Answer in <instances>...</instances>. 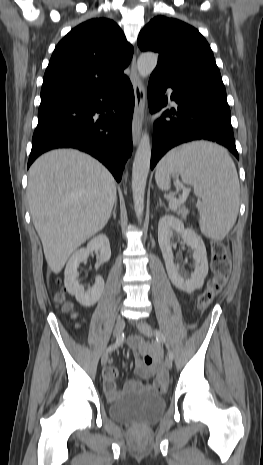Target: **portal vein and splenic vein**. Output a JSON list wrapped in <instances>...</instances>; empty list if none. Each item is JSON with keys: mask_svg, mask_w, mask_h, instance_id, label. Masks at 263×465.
<instances>
[{"mask_svg": "<svg viewBox=\"0 0 263 465\" xmlns=\"http://www.w3.org/2000/svg\"><path fill=\"white\" fill-rule=\"evenodd\" d=\"M189 192H190V189H183L182 196L179 199L172 200L169 203V208L171 210H174L175 208H177L178 205L183 204L186 201L189 195ZM196 206H201V203H197Z\"/></svg>", "mask_w": 263, "mask_h": 465, "instance_id": "obj_1", "label": "portal vein and splenic vein"}]
</instances>
